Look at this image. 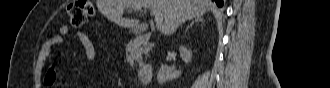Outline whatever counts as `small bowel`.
Here are the masks:
<instances>
[{
	"label": "small bowel",
	"mask_w": 330,
	"mask_h": 88,
	"mask_svg": "<svg viewBox=\"0 0 330 88\" xmlns=\"http://www.w3.org/2000/svg\"><path fill=\"white\" fill-rule=\"evenodd\" d=\"M72 35L84 48L86 57L89 61L96 63L98 61L97 51L92 43L91 39L80 31L73 30L69 25H62L59 29V34L53 37L51 40L46 42L39 53V59L37 66L42 69L44 65V60L50 53L51 47L53 45L62 44L64 42V37ZM57 79L56 70L51 67L43 76L42 81L47 85H52Z\"/></svg>",
	"instance_id": "small-bowel-1"
}]
</instances>
